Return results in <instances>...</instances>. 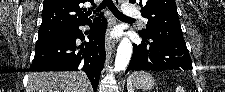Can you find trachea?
<instances>
[{
    "label": "trachea",
    "instance_id": "trachea-1",
    "mask_svg": "<svg viewBox=\"0 0 225 92\" xmlns=\"http://www.w3.org/2000/svg\"><path fill=\"white\" fill-rule=\"evenodd\" d=\"M105 7H108V9L114 14L116 18L130 19L117 9L112 0H103L96 11L99 12Z\"/></svg>",
    "mask_w": 225,
    "mask_h": 92
}]
</instances>
